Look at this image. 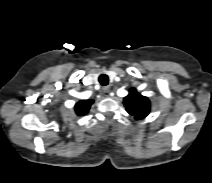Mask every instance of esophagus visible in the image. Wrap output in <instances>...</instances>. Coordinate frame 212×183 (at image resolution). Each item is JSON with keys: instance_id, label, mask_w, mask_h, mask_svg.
I'll use <instances>...</instances> for the list:
<instances>
[{"instance_id": "1", "label": "esophagus", "mask_w": 212, "mask_h": 183, "mask_svg": "<svg viewBox=\"0 0 212 183\" xmlns=\"http://www.w3.org/2000/svg\"><path fill=\"white\" fill-rule=\"evenodd\" d=\"M104 96L108 97L110 96V88L109 87H104L102 89Z\"/></svg>"}]
</instances>
